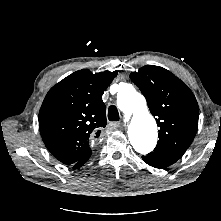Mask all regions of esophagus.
Wrapping results in <instances>:
<instances>
[{"label":"esophagus","mask_w":221,"mask_h":221,"mask_svg":"<svg viewBox=\"0 0 221 221\" xmlns=\"http://www.w3.org/2000/svg\"><path fill=\"white\" fill-rule=\"evenodd\" d=\"M122 122H114V123H110V126L113 128H118L122 126Z\"/></svg>","instance_id":"1"}]
</instances>
